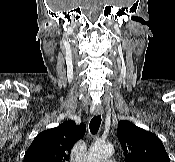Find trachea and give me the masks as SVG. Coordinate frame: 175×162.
<instances>
[{
    "label": "trachea",
    "instance_id": "3493384b",
    "mask_svg": "<svg viewBox=\"0 0 175 162\" xmlns=\"http://www.w3.org/2000/svg\"><path fill=\"white\" fill-rule=\"evenodd\" d=\"M101 124V115L94 116L89 124L90 132L91 134L95 135L97 134Z\"/></svg>",
    "mask_w": 175,
    "mask_h": 162
}]
</instances>
